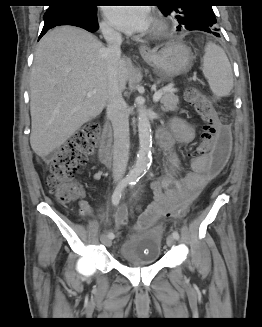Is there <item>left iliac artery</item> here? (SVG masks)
<instances>
[{"label": "left iliac artery", "instance_id": "44dca946", "mask_svg": "<svg viewBox=\"0 0 262 327\" xmlns=\"http://www.w3.org/2000/svg\"><path fill=\"white\" fill-rule=\"evenodd\" d=\"M139 179L140 178H135L134 180H133V182L130 184V186H131V188H133L138 182H139ZM172 236L176 239V240H178L179 239V233L177 232V231H173V233H172Z\"/></svg>", "mask_w": 262, "mask_h": 327}]
</instances>
